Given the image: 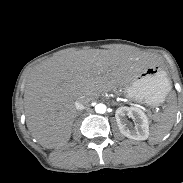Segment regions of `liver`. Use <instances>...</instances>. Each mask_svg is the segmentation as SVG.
Returning a JSON list of instances; mask_svg holds the SVG:
<instances>
[{"instance_id":"obj_1","label":"liver","mask_w":183,"mask_h":183,"mask_svg":"<svg viewBox=\"0 0 183 183\" xmlns=\"http://www.w3.org/2000/svg\"><path fill=\"white\" fill-rule=\"evenodd\" d=\"M150 66L147 58L122 50L84 49L54 56L28 74L24 109L33 138L46 148L65 145L77 111L75 102L123 87Z\"/></svg>"}]
</instances>
